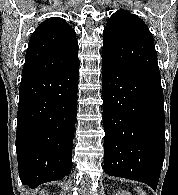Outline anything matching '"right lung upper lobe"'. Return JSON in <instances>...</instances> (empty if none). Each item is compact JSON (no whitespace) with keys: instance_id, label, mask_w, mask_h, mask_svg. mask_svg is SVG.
Returning a JSON list of instances; mask_svg holds the SVG:
<instances>
[{"instance_id":"cb5924a9","label":"right lung upper lobe","mask_w":178,"mask_h":195,"mask_svg":"<svg viewBox=\"0 0 178 195\" xmlns=\"http://www.w3.org/2000/svg\"><path fill=\"white\" fill-rule=\"evenodd\" d=\"M79 63L75 31L59 17L45 20L32 34L22 77L72 68Z\"/></svg>"}]
</instances>
